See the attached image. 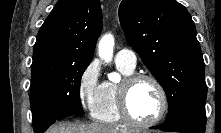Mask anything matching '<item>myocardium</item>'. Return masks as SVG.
Returning <instances> with one entry per match:
<instances>
[{
	"instance_id": "myocardium-1",
	"label": "myocardium",
	"mask_w": 221,
	"mask_h": 133,
	"mask_svg": "<svg viewBox=\"0 0 221 133\" xmlns=\"http://www.w3.org/2000/svg\"><path fill=\"white\" fill-rule=\"evenodd\" d=\"M140 81H150L157 88L160 99H161V107L155 118L149 121H140L136 119L129 107V96L132 88ZM118 108L120 115L122 118L135 126L138 127H151L158 124L163 117L165 116L168 110V98L166 90L163 84L153 75L150 74H132L123 79L118 88Z\"/></svg>"
}]
</instances>
